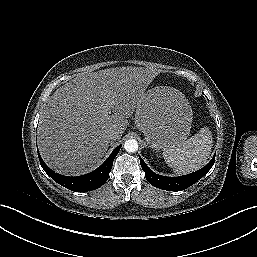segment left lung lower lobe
Instances as JSON below:
<instances>
[{"mask_svg": "<svg viewBox=\"0 0 257 257\" xmlns=\"http://www.w3.org/2000/svg\"><path fill=\"white\" fill-rule=\"evenodd\" d=\"M214 161L215 155L205 167L196 172L179 177H166L152 172L146 163L140 158L141 167L145 172L146 179L150 182V184L162 190L169 191H181L190 187L208 173V171L212 168Z\"/></svg>", "mask_w": 257, "mask_h": 257, "instance_id": "1", "label": "left lung lower lobe"}]
</instances>
